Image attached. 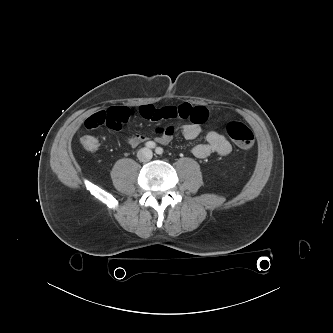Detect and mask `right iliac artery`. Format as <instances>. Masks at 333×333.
<instances>
[{
	"instance_id": "1",
	"label": "right iliac artery",
	"mask_w": 333,
	"mask_h": 333,
	"mask_svg": "<svg viewBox=\"0 0 333 333\" xmlns=\"http://www.w3.org/2000/svg\"><path fill=\"white\" fill-rule=\"evenodd\" d=\"M145 146H146L147 148H151V149H153V148L156 147V143L153 142V141H148V142L145 143Z\"/></svg>"
}]
</instances>
